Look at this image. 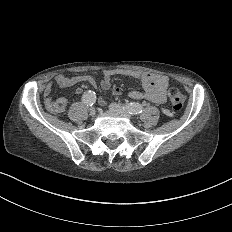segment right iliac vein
<instances>
[{
  "instance_id": "1",
  "label": "right iliac vein",
  "mask_w": 232,
  "mask_h": 232,
  "mask_svg": "<svg viewBox=\"0 0 232 232\" xmlns=\"http://www.w3.org/2000/svg\"><path fill=\"white\" fill-rule=\"evenodd\" d=\"M89 115L90 116H95L96 115V110L95 109H90L89 110Z\"/></svg>"
}]
</instances>
